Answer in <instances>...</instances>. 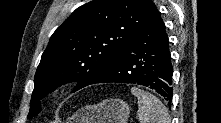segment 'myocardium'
<instances>
[{"label": "myocardium", "mask_w": 221, "mask_h": 123, "mask_svg": "<svg viewBox=\"0 0 221 123\" xmlns=\"http://www.w3.org/2000/svg\"><path fill=\"white\" fill-rule=\"evenodd\" d=\"M65 92H66L65 87H60L59 89H57V90L55 91L54 95H55L57 98H61V97L64 96Z\"/></svg>", "instance_id": "f54148a6"}]
</instances>
